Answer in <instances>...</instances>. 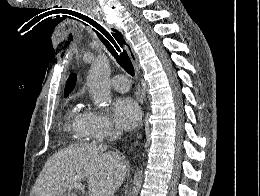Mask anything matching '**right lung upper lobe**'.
<instances>
[{"label":"right lung upper lobe","mask_w":260,"mask_h":196,"mask_svg":"<svg viewBox=\"0 0 260 196\" xmlns=\"http://www.w3.org/2000/svg\"><path fill=\"white\" fill-rule=\"evenodd\" d=\"M76 77L75 75H71L67 80L66 87H65V96H67L75 85Z\"/></svg>","instance_id":"1"}]
</instances>
